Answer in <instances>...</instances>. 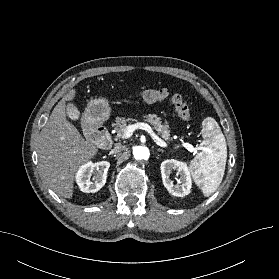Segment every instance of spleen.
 Here are the masks:
<instances>
[{
    "mask_svg": "<svg viewBox=\"0 0 279 279\" xmlns=\"http://www.w3.org/2000/svg\"><path fill=\"white\" fill-rule=\"evenodd\" d=\"M203 151L190 163V172L204 196L212 195L222 182L227 160L225 137L212 117L202 121Z\"/></svg>",
    "mask_w": 279,
    "mask_h": 279,
    "instance_id": "3e777b00",
    "label": "spleen"
}]
</instances>
